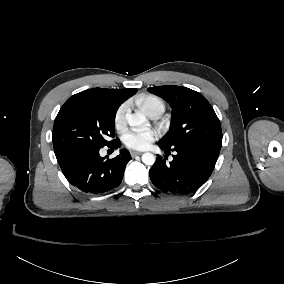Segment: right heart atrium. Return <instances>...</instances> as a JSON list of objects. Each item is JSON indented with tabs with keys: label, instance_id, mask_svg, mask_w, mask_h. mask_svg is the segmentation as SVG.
<instances>
[{
	"label": "right heart atrium",
	"instance_id": "1",
	"mask_svg": "<svg viewBox=\"0 0 284 284\" xmlns=\"http://www.w3.org/2000/svg\"><path fill=\"white\" fill-rule=\"evenodd\" d=\"M127 103L124 102L123 104H121L115 114V125L117 127L122 126L125 123L126 120V113H127Z\"/></svg>",
	"mask_w": 284,
	"mask_h": 284
}]
</instances>
